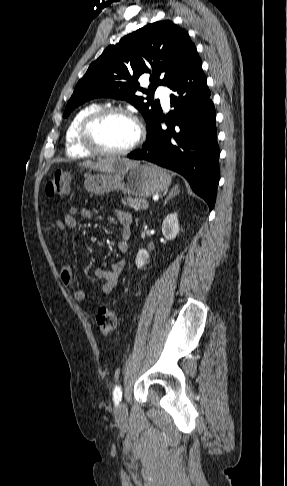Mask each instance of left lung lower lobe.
<instances>
[{
	"mask_svg": "<svg viewBox=\"0 0 287 486\" xmlns=\"http://www.w3.org/2000/svg\"><path fill=\"white\" fill-rule=\"evenodd\" d=\"M171 106L167 130L161 117L147 130L142 149L128 154L183 175L193 191L212 210L219 183V147L216 134V113L210 99L201 59L169 85Z\"/></svg>",
	"mask_w": 287,
	"mask_h": 486,
	"instance_id": "obj_1",
	"label": "left lung lower lobe"
}]
</instances>
